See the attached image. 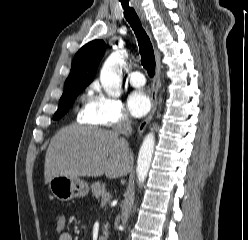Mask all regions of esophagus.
Returning <instances> with one entry per match:
<instances>
[{"label":"esophagus","mask_w":248,"mask_h":240,"mask_svg":"<svg viewBox=\"0 0 248 240\" xmlns=\"http://www.w3.org/2000/svg\"><path fill=\"white\" fill-rule=\"evenodd\" d=\"M135 10L137 11L138 15L140 16L141 20L144 23L145 29L147 31V33L149 34V36L151 37V32L149 29V26L146 22L145 16L143 14L142 9L139 7V5H135ZM160 52L155 49V75L152 81V95H151V101H152V109L151 112L149 113V115L146 117V119H144L141 124L139 125L138 129H137V134L138 135H142L145 128L147 127V125L149 124V122L151 121V119L153 118L156 109H157V104H158V93L161 87V83H160V73H161V62H160Z\"/></svg>","instance_id":"34e87169"}]
</instances>
